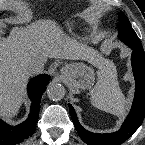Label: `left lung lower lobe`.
<instances>
[{
    "instance_id": "1",
    "label": "left lung lower lobe",
    "mask_w": 145,
    "mask_h": 145,
    "mask_svg": "<svg viewBox=\"0 0 145 145\" xmlns=\"http://www.w3.org/2000/svg\"><path fill=\"white\" fill-rule=\"evenodd\" d=\"M124 42V41H123ZM125 43V42H124ZM126 44V43H125ZM133 51L131 64L135 78V97L131 111L121 128L114 133L98 134L84 129L77 118L74 108L69 104L71 118L81 139L88 145H120L126 141L142 124L145 116V56L142 45L127 44Z\"/></svg>"
}]
</instances>
